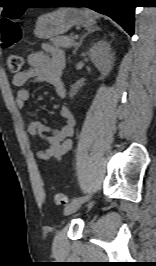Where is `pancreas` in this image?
<instances>
[{"label":"pancreas","mask_w":156,"mask_h":266,"mask_svg":"<svg viewBox=\"0 0 156 266\" xmlns=\"http://www.w3.org/2000/svg\"><path fill=\"white\" fill-rule=\"evenodd\" d=\"M75 37L73 35L70 36H58L52 38L50 41L55 47H61L64 49L70 48L75 45Z\"/></svg>","instance_id":"1"}]
</instances>
